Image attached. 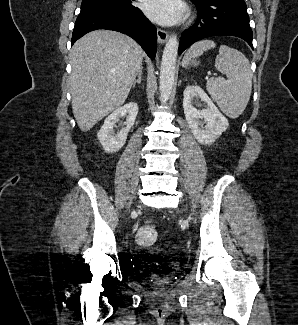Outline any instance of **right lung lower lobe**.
Returning a JSON list of instances; mask_svg holds the SVG:
<instances>
[{
  "mask_svg": "<svg viewBox=\"0 0 298 325\" xmlns=\"http://www.w3.org/2000/svg\"><path fill=\"white\" fill-rule=\"evenodd\" d=\"M96 29H108L124 33L138 42L152 60L155 58L157 49L156 27L135 6L118 10L80 12L73 30L72 44L86 33Z\"/></svg>",
  "mask_w": 298,
  "mask_h": 325,
  "instance_id": "right-lung-lower-lobe-1",
  "label": "right lung lower lobe"
}]
</instances>
